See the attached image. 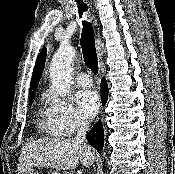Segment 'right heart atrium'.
<instances>
[{"label": "right heart atrium", "instance_id": "right-heart-atrium-1", "mask_svg": "<svg viewBox=\"0 0 175 174\" xmlns=\"http://www.w3.org/2000/svg\"><path fill=\"white\" fill-rule=\"evenodd\" d=\"M47 114L52 129L61 136H70L86 128L87 121L68 99L53 93L46 96Z\"/></svg>", "mask_w": 175, "mask_h": 174}]
</instances>
